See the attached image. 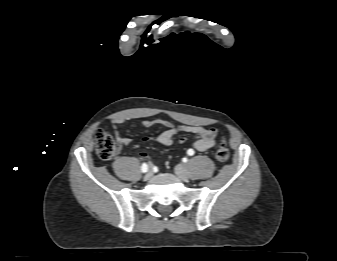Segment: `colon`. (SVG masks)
<instances>
[{"label":"colon","instance_id":"obj_1","mask_svg":"<svg viewBox=\"0 0 337 261\" xmlns=\"http://www.w3.org/2000/svg\"><path fill=\"white\" fill-rule=\"evenodd\" d=\"M95 146L98 157L103 161L110 160L117 151V145L115 144V141L112 138V136L102 130H98L96 132ZM215 158L219 162H226L228 160L229 150L226 147L224 141H222L219 147L217 148L215 152Z\"/></svg>","mask_w":337,"mask_h":261}]
</instances>
